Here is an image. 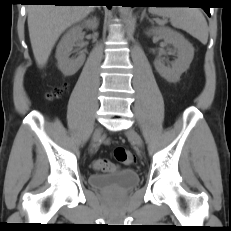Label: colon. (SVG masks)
I'll list each match as a JSON object with an SVG mask.
<instances>
[{"mask_svg":"<svg viewBox=\"0 0 231 231\" xmlns=\"http://www.w3.org/2000/svg\"><path fill=\"white\" fill-rule=\"evenodd\" d=\"M67 86L57 87L51 93L48 94L49 99H54L60 97L64 91L66 90ZM114 157L120 163L126 166H132L135 164V156L129 150L123 147H117L114 150ZM94 168L100 171H107V170H114V165L108 159H98L94 162Z\"/></svg>","mask_w":231,"mask_h":231,"instance_id":"colon-1","label":"colon"}]
</instances>
